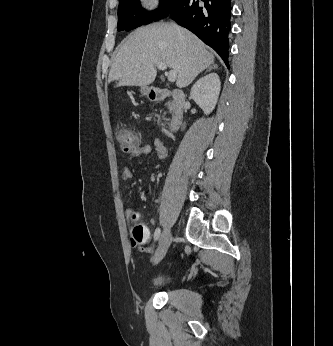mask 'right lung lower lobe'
Here are the masks:
<instances>
[{"label":"right lung lower lobe","mask_w":333,"mask_h":346,"mask_svg":"<svg viewBox=\"0 0 333 346\" xmlns=\"http://www.w3.org/2000/svg\"><path fill=\"white\" fill-rule=\"evenodd\" d=\"M231 0H180L169 16L212 47L228 65Z\"/></svg>","instance_id":"right-lung-lower-lobe-1"}]
</instances>
